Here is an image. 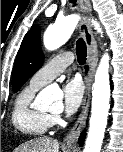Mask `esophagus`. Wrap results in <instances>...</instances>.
I'll return each instance as SVG.
<instances>
[{
	"instance_id": "1",
	"label": "esophagus",
	"mask_w": 123,
	"mask_h": 152,
	"mask_svg": "<svg viewBox=\"0 0 123 152\" xmlns=\"http://www.w3.org/2000/svg\"><path fill=\"white\" fill-rule=\"evenodd\" d=\"M80 5L82 11L85 15L91 14V5L89 0H80ZM79 31L84 38L87 52H88V72L85 75V85L86 91L85 96L82 104V110L80 116L78 117L76 123L74 124L73 128L69 132V134L64 139V145L67 147H74L77 144L78 138L81 134L82 129L85 126L89 105H90V98H91V89H92V81H93V69L97 62V45L95 38L92 34L90 24L85 19L79 25Z\"/></svg>"
}]
</instances>
